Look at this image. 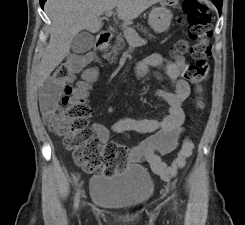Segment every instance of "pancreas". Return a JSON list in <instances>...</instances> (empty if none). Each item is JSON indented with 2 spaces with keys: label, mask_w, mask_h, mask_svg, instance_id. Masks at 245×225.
I'll return each mask as SVG.
<instances>
[{
  "label": "pancreas",
  "mask_w": 245,
  "mask_h": 225,
  "mask_svg": "<svg viewBox=\"0 0 245 225\" xmlns=\"http://www.w3.org/2000/svg\"><path fill=\"white\" fill-rule=\"evenodd\" d=\"M143 31V30H142ZM145 32V31H144ZM146 33V32H145ZM149 38H152L153 36L150 34H147ZM126 45H125V41H124V37L122 35H118L115 41V44L112 46L111 51L108 52L105 57L109 60H111L112 62L116 61V57L119 54V52L123 49H125Z\"/></svg>",
  "instance_id": "obj_1"
}]
</instances>
